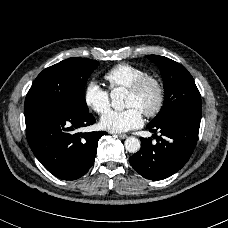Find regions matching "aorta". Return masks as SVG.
<instances>
[{"mask_svg":"<svg viewBox=\"0 0 228 228\" xmlns=\"http://www.w3.org/2000/svg\"><path fill=\"white\" fill-rule=\"evenodd\" d=\"M128 95V90L124 87H117L111 90V106L116 111H122L125 108L124 99ZM125 148L130 153H136L140 150L141 142L135 137H128L125 140Z\"/></svg>","mask_w":228,"mask_h":228,"instance_id":"obj_1","label":"aorta"}]
</instances>
